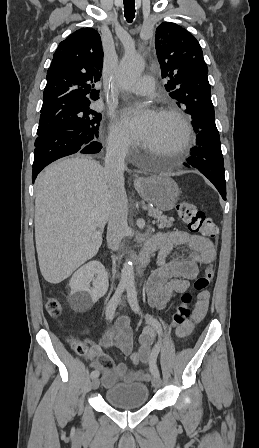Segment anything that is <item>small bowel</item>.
<instances>
[{"mask_svg": "<svg viewBox=\"0 0 259 448\" xmlns=\"http://www.w3.org/2000/svg\"><path fill=\"white\" fill-rule=\"evenodd\" d=\"M159 250L158 267L147 281L149 304L162 309L175 293H184L190 287V281L197 278L199 268L211 264L216 257L213 243L206 237L185 231H168L159 233L151 239ZM175 258L170 259L172 254ZM210 293L207 290L197 295V302L187 324L175 328L176 336L186 339L193 334L196 326L205 318L209 307ZM153 331L144 329L140 336L139 355L145 365L144 370H128L124 363L115 364L105 349L116 347L123 355H130L133 349V332L130 319L120 317L115 326L101 338L99 344L92 345L85 355L90 366L99 373L103 385L108 388L115 382L127 383L149 381L156 361L151 356Z\"/></svg>", "mask_w": 259, "mask_h": 448, "instance_id": "small-bowel-1", "label": "small bowel"}]
</instances>
